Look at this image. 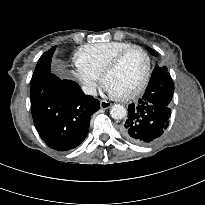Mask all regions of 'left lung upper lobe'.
<instances>
[{"label":"left lung upper lobe","instance_id":"obj_1","mask_svg":"<svg viewBox=\"0 0 205 205\" xmlns=\"http://www.w3.org/2000/svg\"><path fill=\"white\" fill-rule=\"evenodd\" d=\"M150 54L156 55L154 50L147 48ZM174 92L173 80L168 72L167 67L156 66L153 70L149 84L143 95V99H158L170 105Z\"/></svg>","mask_w":205,"mask_h":205}]
</instances>
